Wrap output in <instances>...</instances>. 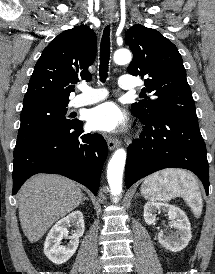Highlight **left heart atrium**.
Masks as SVG:
<instances>
[{
    "label": "left heart atrium",
    "mask_w": 215,
    "mask_h": 274,
    "mask_svg": "<svg viewBox=\"0 0 215 274\" xmlns=\"http://www.w3.org/2000/svg\"><path fill=\"white\" fill-rule=\"evenodd\" d=\"M88 124L93 130L116 133L125 126V115L114 102H105L90 110Z\"/></svg>",
    "instance_id": "39dd6f15"
}]
</instances>
